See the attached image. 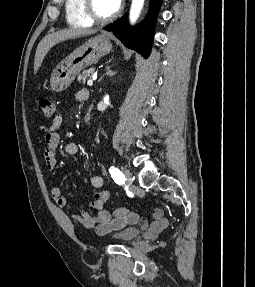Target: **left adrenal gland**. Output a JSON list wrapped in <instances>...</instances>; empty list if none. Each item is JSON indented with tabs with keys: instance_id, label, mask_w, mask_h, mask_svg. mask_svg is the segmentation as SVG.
I'll return each instance as SVG.
<instances>
[{
	"instance_id": "1",
	"label": "left adrenal gland",
	"mask_w": 255,
	"mask_h": 287,
	"mask_svg": "<svg viewBox=\"0 0 255 287\" xmlns=\"http://www.w3.org/2000/svg\"><path fill=\"white\" fill-rule=\"evenodd\" d=\"M115 74H116V72H111L110 66H107L105 76H115ZM102 78H103V76H102ZM102 78H100V80H102ZM100 80H99V82H100Z\"/></svg>"
}]
</instances>
